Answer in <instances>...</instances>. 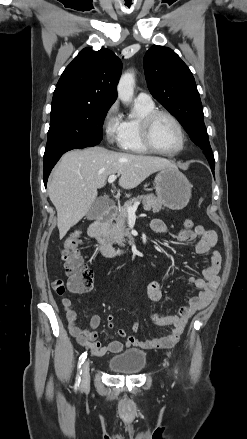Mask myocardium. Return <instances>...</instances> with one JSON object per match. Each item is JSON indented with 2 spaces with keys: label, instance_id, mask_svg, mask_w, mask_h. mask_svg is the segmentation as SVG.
<instances>
[{
  "label": "myocardium",
  "instance_id": "1",
  "mask_svg": "<svg viewBox=\"0 0 247 439\" xmlns=\"http://www.w3.org/2000/svg\"><path fill=\"white\" fill-rule=\"evenodd\" d=\"M159 116H166L168 117L170 120L173 121V123L176 125L179 134H180V145L177 149L173 150V151H162L159 150L158 148H156L152 142V138H151V131H152V126L154 121L159 117ZM140 135H141V141L143 143V145L145 146V148L152 153L158 154V155H162V156H167V157H173L178 155L179 153H181L185 146H186V133L184 130V127L182 125V123L179 121V119L172 113H170L169 111L166 110H154L151 113L147 114L141 121V126H140Z\"/></svg>",
  "mask_w": 247,
  "mask_h": 439
}]
</instances>
